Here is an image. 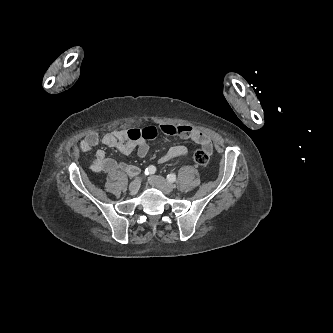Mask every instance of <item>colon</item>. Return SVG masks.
Segmentation results:
<instances>
[{
  "instance_id": "colon-1",
  "label": "colon",
  "mask_w": 333,
  "mask_h": 333,
  "mask_svg": "<svg viewBox=\"0 0 333 333\" xmlns=\"http://www.w3.org/2000/svg\"><path fill=\"white\" fill-rule=\"evenodd\" d=\"M194 161L199 166H205L208 164L210 155L205 152L203 149L196 150L194 152Z\"/></svg>"
}]
</instances>
